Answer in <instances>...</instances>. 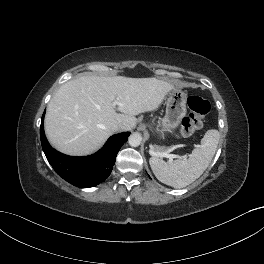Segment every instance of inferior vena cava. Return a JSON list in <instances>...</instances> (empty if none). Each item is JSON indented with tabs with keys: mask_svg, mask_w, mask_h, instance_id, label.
<instances>
[{
	"mask_svg": "<svg viewBox=\"0 0 264 264\" xmlns=\"http://www.w3.org/2000/svg\"><path fill=\"white\" fill-rule=\"evenodd\" d=\"M112 128H113L114 131H119V130H121V129L123 128V124H121V123H116V124H114V125L112 126Z\"/></svg>",
	"mask_w": 264,
	"mask_h": 264,
	"instance_id": "obj_1",
	"label": "inferior vena cava"
}]
</instances>
